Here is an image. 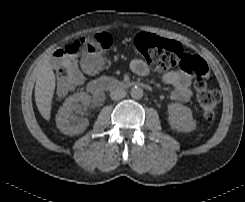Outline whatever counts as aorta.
<instances>
[{
    "instance_id": "obj_1",
    "label": "aorta",
    "mask_w": 245,
    "mask_h": 202,
    "mask_svg": "<svg viewBox=\"0 0 245 202\" xmlns=\"http://www.w3.org/2000/svg\"><path fill=\"white\" fill-rule=\"evenodd\" d=\"M143 89L140 87H133L130 91V95L134 99H141L143 97Z\"/></svg>"
}]
</instances>
